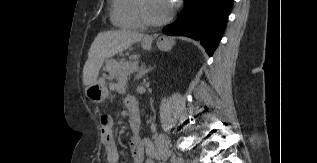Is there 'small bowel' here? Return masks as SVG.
<instances>
[{"mask_svg": "<svg viewBox=\"0 0 317 163\" xmlns=\"http://www.w3.org/2000/svg\"><path fill=\"white\" fill-rule=\"evenodd\" d=\"M122 90L121 88L119 89ZM125 105L131 112L139 113L137 103L132 98L125 100ZM100 129H101V145H102V156L106 163H119V152L113 136V120L110 117L102 116L100 118ZM130 149L133 155V163H154V160H144V154H147L151 158L158 157V151L154 147L150 139L141 140L138 137L130 139Z\"/></svg>", "mask_w": 317, "mask_h": 163, "instance_id": "1", "label": "small bowel"}]
</instances>
